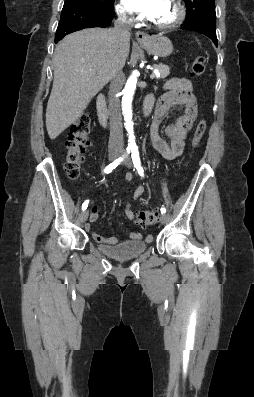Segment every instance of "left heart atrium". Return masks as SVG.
<instances>
[{
	"label": "left heart atrium",
	"instance_id": "obj_1",
	"mask_svg": "<svg viewBox=\"0 0 254 397\" xmlns=\"http://www.w3.org/2000/svg\"><path fill=\"white\" fill-rule=\"evenodd\" d=\"M166 0H124L126 6L146 18L154 19Z\"/></svg>",
	"mask_w": 254,
	"mask_h": 397
}]
</instances>
